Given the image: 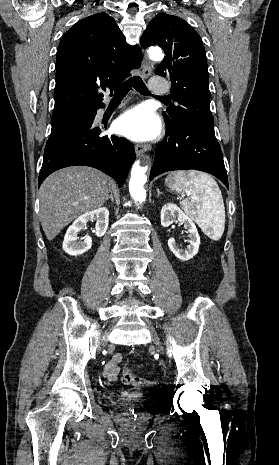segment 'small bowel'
I'll return each mask as SVG.
<instances>
[{
	"label": "small bowel",
	"instance_id": "obj_1",
	"mask_svg": "<svg viewBox=\"0 0 279 465\" xmlns=\"http://www.w3.org/2000/svg\"><path fill=\"white\" fill-rule=\"evenodd\" d=\"M123 356L121 353H117L113 358L105 365L103 369V375L110 381L117 380L120 374L119 364L122 361Z\"/></svg>",
	"mask_w": 279,
	"mask_h": 465
}]
</instances>
